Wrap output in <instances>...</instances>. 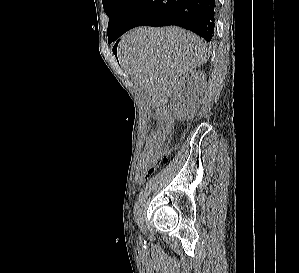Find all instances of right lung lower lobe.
<instances>
[{"label": "right lung lower lobe", "mask_w": 299, "mask_h": 273, "mask_svg": "<svg viewBox=\"0 0 299 273\" xmlns=\"http://www.w3.org/2000/svg\"><path fill=\"white\" fill-rule=\"evenodd\" d=\"M215 13L216 0H134L113 41L141 25H176L211 41Z\"/></svg>", "instance_id": "right-lung-lower-lobe-1"}]
</instances>
